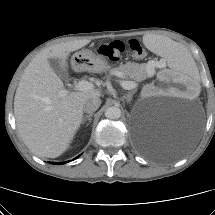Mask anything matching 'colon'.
I'll return each mask as SVG.
<instances>
[{"label":"colon","instance_id":"colon-1","mask_svg":"<svg viewBox=\"0 0 215 215\" xmlns=\"http://www.w3.org/2000/svg\"><path fill=\"white\" fill-rule=\"evenodd\" d=\"M130 52L137 58L145 55V49L138 39H130L127 42ZM125 50V43L123 41H112L102 44L98 47L99 54L106 56L110 59L116 60Z\"/></svg>","mask_w":215,"mask_h":215}]
</instances>
